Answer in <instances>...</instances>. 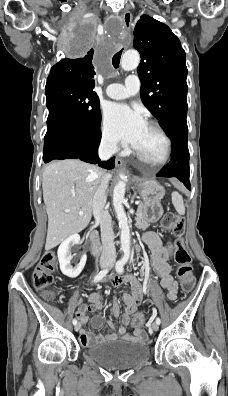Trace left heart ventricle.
Wrapping results in <instances>:
<instances>
[{
  "mask_svg": "<svg viewBox=\"0 0 228 396\" xmlns=\"http://www.w3.org/2000/svg\"><path fill=\"white\" fill-rule=\"evenodd\" d=\"M135 148L147 159L158 161L165 154L166 144L155 129L146 125Z\"/></svg>",
  "mask_w": 228,
  "mask_h": 396,
  "instance_id": "left-heart-ventricle-1",
  "label": "left heart ventricle"
}]
</instances>
